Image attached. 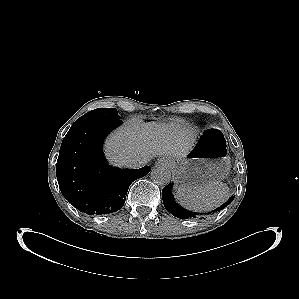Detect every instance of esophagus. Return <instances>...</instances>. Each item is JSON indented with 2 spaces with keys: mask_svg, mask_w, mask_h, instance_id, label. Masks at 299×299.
Here are the masks:
<instances>
[{
  "mask_svg": "<svg viewBox=\"0 0 299 299\" xmlns=\"http://www.w3.org/2000/svg\"><path fill=\"white\" fill-rule=\"evenodd\" d=\"M164 162H165V163H168V161L165 160V159H160V160H158V164H159V163H164Z\"/></svg>",
  "mask_w": 299,
  "mask_h": 299,
  "instance_id": "1",
  "label": "esophagus"
}]
</instances>
